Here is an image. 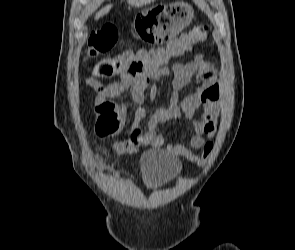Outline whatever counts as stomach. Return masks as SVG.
<instances>
[{"label": "stomach", "mask_w": 295, "mask_h": 250, "mask_svg": "<svg viewBox=\"0 0 295 250\" xmlns=\"http://www.w3.org/2000/svg\"><path fill=\"white\" fill-rule=\"evenodd\" d=\"M194 19V9L188 3L158 4L136 15V35L147 40V45H164Z\"/></svg>", "instance_id": "obj_1"}]
</instances>
